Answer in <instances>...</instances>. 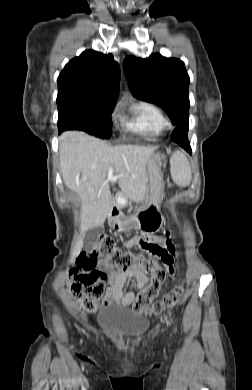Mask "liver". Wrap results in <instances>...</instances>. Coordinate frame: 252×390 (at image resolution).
Wrapping results in <instances>:
<instances>
[{"mask_svg":"<svg viewBox=\"0 0 252 390\" xmlns=\"http://www.w3.org/2000/svg\"><path fill=\"white\" fill-rule=\"evenodd\" d=\"M154 150L137 145L110 146L81 131L62 133L60 167L65 186L77 193L82 202L81 231L102 226L111 214L114 202L110 182H117L126 197H144L146 166ZM82 247L83 239L79 237L72 249V261Z\"/></svg>","mask_w":252,"mask_h":390,"instance_id":"liver-1","label":"liver"}]
</instances>
